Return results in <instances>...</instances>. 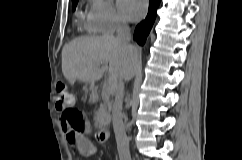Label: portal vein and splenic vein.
Here are the masks:
<instances>
[{"instance_id":"portal-vein-and-splenic-vein-1","label":"portal vein and splenic vein","mask_w":242,"mask_h":160,"mask_svg":"<svg viewBox=\"0 0 242 160\" xmlns=\"http://www.w3.org/2000/svg\"><path fill=\"white\" fill-rule=\"evenodd\" d=\"M101 69L105 70V69H106V67H102ZM110 93H111V90H110V88H109V87L104 88V89L102 90V97H103V98H105V99H108V98H109Z\"/></svg>"}]
</instances>
